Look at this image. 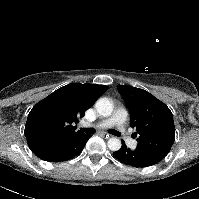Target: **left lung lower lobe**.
Listing matches in <instances>:
<instances>
[{"instance_id":"obj_1","label":"left lung lower lobe","mask_w":199,"mask_h":199,"mask_svg":"<svg viewBox=\"0 0 199 199\" xmlns=\"http://www.w3.org/2000/svg\"><path fill=\"white\" fill-rule=\"evenodd\" d=\"M113 155L120 162L134 167H147L160 162L164 157L151 151L136 148L131 150L127 148L122 141L121 149L113 152Z\"/></svg>"}]
</instances>
